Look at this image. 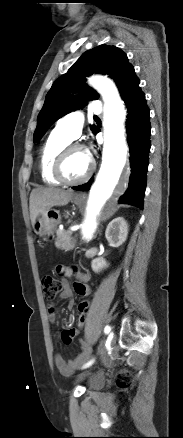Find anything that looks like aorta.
I'll use <instances>...</instances> for the list:
<instances>
[{
  "instance_id": "1",
  "label": "aorta",
  "mask_w": 183,
  "mask_h": 438,
  "mask_svg": "<svg viewBox=\"0 0 183 438\" xmlns=\"http://www.w3.org/2000/svg\"><path fill=\"white\" fill-rule=\"evenodd\" d=\"M89 84L104 100V146L102 164L91 187L80 234L91 240L97 230L104 205L112 195L126 164L128 147L124 136L125 108L115 84L103 76H93Z\"/></svg>"
}]
</instances>
